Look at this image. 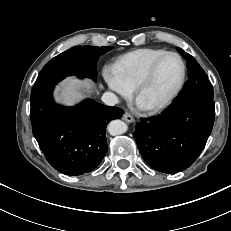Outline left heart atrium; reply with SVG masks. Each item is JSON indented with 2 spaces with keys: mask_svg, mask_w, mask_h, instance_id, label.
I'll use <instances>...</instances> for the list:
<instances>
[{
  "mask_svg": "<svg viewBox=\"0 0 231 231\" xmlns=\"http://www.w3.org/2000/svg\"><path fill=\"white\" fill-rule=\"evenodd\" d=\"M137 104L140 108H144V105H142L139 101L137 102Z\"/></svg>",
  "mask_w": 231,
  "mask_h": 231,
  "instance_id": "left-heart-atrium-1",
  "label": "left heart atrium"
}]
</instances>
